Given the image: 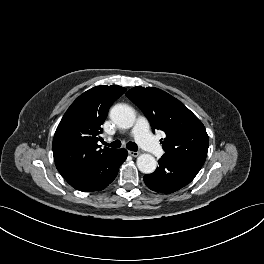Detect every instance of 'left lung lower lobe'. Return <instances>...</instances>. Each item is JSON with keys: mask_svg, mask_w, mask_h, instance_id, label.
<instances>
[{"mask_svg": "<svg viewBox=\"0 0 264 264\" xmlns=\"http://www.w3.org/2000/svg\"><path fill=\"white\" fill-rule=\"evenodd\" d=\"M159 166L144 176L146 185L158 193L170 194L190 183L201 167L195 163L168 154H164L158 161Z\"/></svg>", "mask_w": 264, "mask_h": 264, "instance_id": "obj_1", "label": "left lung lower lobe"}]
</instances>
